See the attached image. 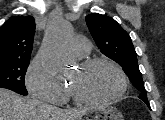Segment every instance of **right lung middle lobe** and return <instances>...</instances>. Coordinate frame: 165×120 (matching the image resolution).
<instances>
[{"label":"right lung middle lobe","mask_w":165,"mask_h":120,"mask_svg":"<svg viewBox=\"0 0 165 120\" xmlns=\"http://www.w3.org/2000/svg\"><path fill=\"white\" fill-rule=\"evenodd\" d=\"M30 59L0 58V87L27 95L24 79Z\"/></svg>","instance_id":"obj_1"}]
</instances>
